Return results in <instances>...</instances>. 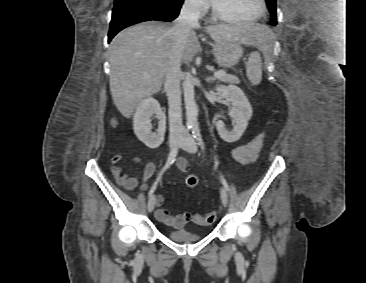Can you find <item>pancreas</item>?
<instances>
[{"label":"pancreas","mask_w":366,"mask_h":283,"mask_svg":"<svg viewBox=\"0 0 366 283\" xmlns=\"http://www.w3.org/2000/svg\"><path fill=\"white\" fill-rule=\"evenodd\" d=\"M220 81L225 83H232V84H239L240 80L235 77L234 75L225 74L223 77L220 78Z\"/></svg>","instance_id":"obj_1"}]
</instances>
